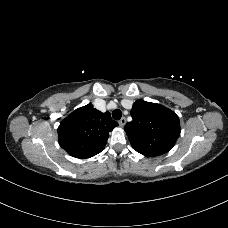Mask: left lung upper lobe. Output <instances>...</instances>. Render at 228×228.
Listing matches in <instances>:
<instances>
[{
  "label": "left lung upper lobe",
  "mask_w": 228,
  "mask_h": 228,
  "mask_svg": "<svg viewBox=\"0 0 228 228\" xmlns=\"http://www.w3.org/2000/svg\"><path fill=\"white\" fill-rule=\"evenodd\" d=\"M133 120L125 132L134 150L153 157L167 153L180 135V121L172 110L163 105L138 100L131 110Z\"/></svg>",
  "instance_id": "obj_1"
}]
</instances>
